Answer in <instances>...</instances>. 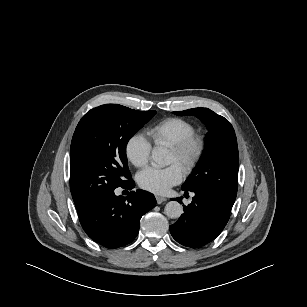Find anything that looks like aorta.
Masks as SVG:
<instances>
[{
	"instance_id": "aorta-1",
	"label": "aorta",
	"mask_w": 307,
	"mask_h": 307,
	"mask_svg": "<svg viewBox=\"0 0 307 307\" xmlns=\"http://www.w3.org/2000/svg\"><path fill=\"white\" fill-rule=\"evenodd\" d=\"M151 160L157 166H165L169 163L167 159V152L161 147H156L152 150ZM164 211L167 217L176 219L183 213V207L177 201H170L166 204Z\"/></svg>"
}]
</instances>
